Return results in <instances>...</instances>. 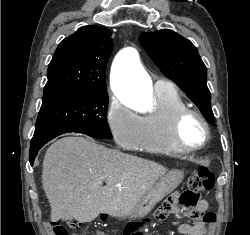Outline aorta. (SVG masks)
<instances>
[{"mask_svg": "<svg viewBox=\"0 0 250 235\" xmlns=\"http://www.w3.org/2000/svg\"><path fill=\"white\" fill-rule=\"evenodd\" d=\"M111 82L115 94L125 104L143 105L151 96V79L141 67L134 48H125L116 56Z\"/></svg>", "mask_w": 250, "mask_h": 235, "instance_id": "obj_1", "label": "aorta"}]
</instances>
